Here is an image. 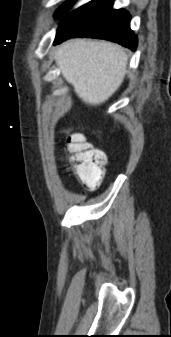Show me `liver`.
<instances>
[{
	"label": "liver",
	"instance_id": "6515ba94",
	"mask_svg": "<svg viewBox=\"0 0 171 337\" xmlns=\"http://www.w3.org/2000/svg\"><path fill=\"white\" fill-rule=\"evenodd\" d=\"M55 60L78 97L90 105L108 100L126 74V52L106 41H67L58 47Z\"/></svg>",
	"mask_w": 171,
	"mask_h": 337
}]
</instances>
